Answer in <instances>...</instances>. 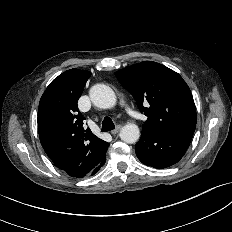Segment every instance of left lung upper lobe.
I'll return each instance as SVG.
<instances>
[{
  "label": "left lung upper lobe",
  "instance_id": "obj_1",
  "mask_svg": "<svg viewBox=\"0 0 232 232\" xmlns=\"http://www.w3.org/2000/svg\"><path fill=\"white\" fill-rule=\"evenodd\" d=\"M115 75L148 117L142 130L194 134L197 122L194 100L178 73L159 63L144 61Z\"/></svg>",
  "mask_w": 232,
  "mask_h": 232
}]
</instances>
